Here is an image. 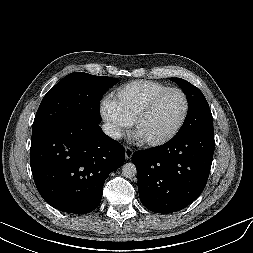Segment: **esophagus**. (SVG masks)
<instances>
[{
  "instance_id": "34e87169",
  "label": "esophagus",
  "mask_w": 253,
  "mask_h": 253,
  "mask_svg": "<svg viewBox=\"0 0 253 253\" xmlns=\"http://www.w3.org/2000/svg\"><path fill=\"white\" fill-rule=\"evenodd\" d=\"M133 155V150L130 147H125V158L126 160L131 159Z\"/></svg>"
}]
</instances>
